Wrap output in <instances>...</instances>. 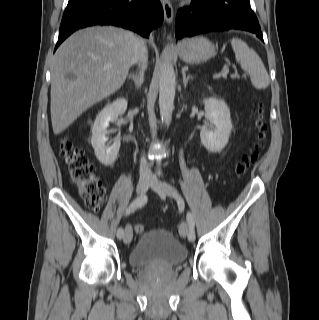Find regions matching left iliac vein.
I'll list each match as a JSON object with an SVG mask.
<instances>
[{
    "label": "left iliac vein",
    "mask_w": 319,
    "mask_h": 320,
    "mask_svg": "<svg viewBox=\"0 0 319 320\" xmlns=\"http://www.w3.org/2000/svg\"><path fill=\"white\" fill-rule=\"evenodd\" d=\"M151 188L156 191L161 197L170 196L175 198L176 200L180 201L179 195L177 190L169 185L166 182H161L158 180L151 181ZM179 233L182 237H188L189 240V233H188V226L186 222H183L180 226Z\"/></svg>",
    "instance_id": "1"
}]
</instances>
